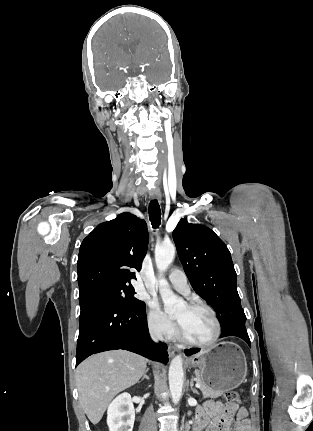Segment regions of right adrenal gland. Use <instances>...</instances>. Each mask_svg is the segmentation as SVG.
<instances>
[{"instance_id":"1","label":"right adrenal gland","mask_w":313,"mask_h":431,"mask_svg":"<svg viewBox=\"0 0 313 431\" xmlns=\"http://www.w3.org/2000/svg\"><path fill=\"white\" fill-rule=\"evenodd\" d=\"M148 371H149V368H146V370H145V372L141 378V381H143L144 379L149 380V376L147 375Z\"/></svg>"}]
</instances>
